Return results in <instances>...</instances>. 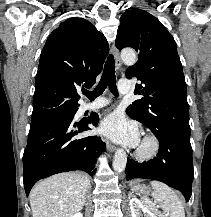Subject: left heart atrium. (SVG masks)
Listing matches in <instances>:
<instances>
[{
  "instance_id": "obj_1",
  "label": "left heart atrium",
  "mask_w": 211,
  "mask_h": 217,
  "mask_svg": "<svg viewBox=\"0 0 211 217\" xmlns=\"http://www.w3.org/2000/svg\"><path fill=\"white\" fill-rule=\"evenodd\" d=\"M100 132L110 139L128 146L135 147L140 142L137 125L127 121L118 113L110 115L101 123Z\"/></svg>"
}]
</instances>
